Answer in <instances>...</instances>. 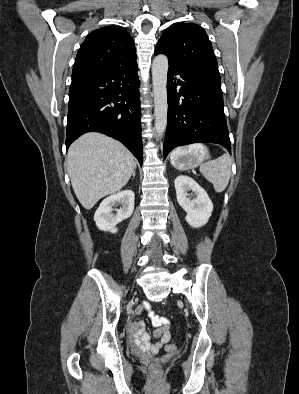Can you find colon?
<instances>
[{
    "label": "colon",
    "instance_id": "obj_1",
    "mask_svg": "<svg viewBox=\"0 0 299 394\" xmlns=\"http://www.w3.org/2000/svg\"><path fill=\"white\" fill-rule=\"evenodd\" d=\"M171 347H172V345L170 346V348H171ZM152 369H153V370H157V365H153V366H152Z\"/></svg>",
    "mask_w": 299,
    "mask_h": 394
}]
</instances>
